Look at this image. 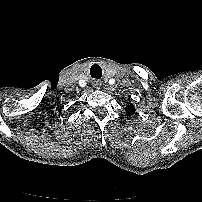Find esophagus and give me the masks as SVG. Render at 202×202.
<instances>
[{
    "label": "esophagus",
    "instance_id": "obj_1",
    "mask_svg": "<svg viewBox=\"0 0 202 202\" xmlns=\"http://www.w3.org/2000/svg\"><path fill=\"white\" fill-rule=\"evenodd\" d=\"M101 85H102V84H101V82H100L99 80L93 82V86H94L96 89H100Z\"/></svg>",
    "mask_w": 202,
    "mask_h": 202
}]
</instances>
